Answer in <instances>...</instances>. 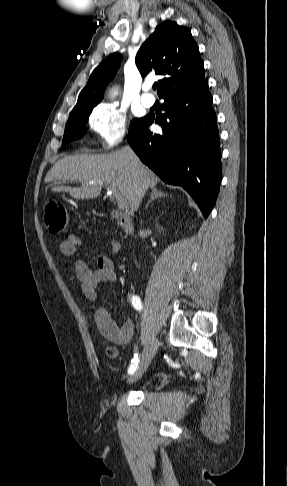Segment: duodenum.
I'll return each instance as SVG.
<instances>
[{"instance_id": "1", "label": "duodenum", "mask_w": 287, "mask_h": 486, "mask_svg": "<svg viewBox=\"0 0 287 486\" xmlns=\"http://www.w3.org/2000/svg\"><path fill=\"white\" fill-rule=\"evenodd\" d=\"M110 215L117 221L120 229L124 234L128 236L133 235L134 225L131 218L127 214L116 209H110Z\"/></svg>"}]
</instances>
